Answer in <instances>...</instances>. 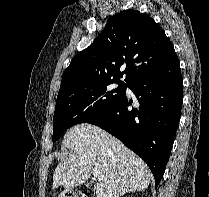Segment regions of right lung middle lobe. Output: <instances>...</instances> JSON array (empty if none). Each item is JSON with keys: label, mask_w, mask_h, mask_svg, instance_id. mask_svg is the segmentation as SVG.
Wrapping results in <instances>:
<instances>
[{"label": "right lung middle lobe", "mask_w": 209, "mask_h": 197, "mask_svg": "<svg viewBox=\"0 0 209 197\" xmlns=\"http://www.w3.org/2000/svg\"><path fill=\"white\" fill-rule=\"evenodd\" d=\"M113 83L118 84L113 88ZM118 80L72 84L59 90L53 116V142L71 126L85 123L125 96L126 88Z\"/></svg>", "instance_id": "1"}]
</instances>
